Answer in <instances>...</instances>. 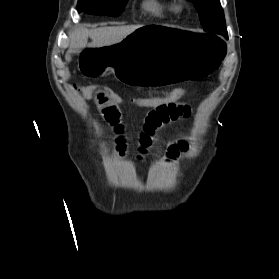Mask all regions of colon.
Returning <instances> with one entry per match:
<instances>
[{"mask_svg": "<svg viewBox=\"0 0 279 279\" xmlns=\"http://www.w3.org/2000/svg\"><path fill=\"white\" fill-rule=\"evenodd\" d=\"M75 88L86 98L102 97L118 106L128 104L137 108H153L173 104L179 102L187 94L185 88L177 87L146 96L127 98L123 94L105 86L87 85L75 86Z\"/></svg>", "mask_w": 279, "mask_h": 279, "instance_id": "1", "label": "colon"}]
</instances>
